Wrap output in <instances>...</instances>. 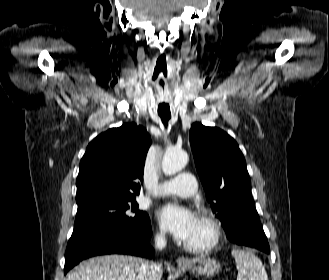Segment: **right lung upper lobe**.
I'll use <instances>...</instances> for the list:
<instances>
[{"mask_svg":"<svg viewBox=\"0 0 329 280\" xmlns=\"http://www.w3.org/2000/svg\"><path fill=\"white\" fill-rule=\"evenodd\" d=\"M150 145L147 131L135 123L101 133L81 159L76 198L138 195Z\"/></svg>","mask_w":329,"mask_h":280,"instance_id":"1","label":"right lung upper lobe"}]
</instances>
